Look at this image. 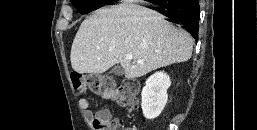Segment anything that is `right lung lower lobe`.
<instances>
[{
    "instance_id": "right-lung-lower-lobe-1",
    "label": "right lung lower lobe",
    "mask_w": 257,
    "mask_h": 130,
    "mask_svg": "<svg viewBox=\"0 0 257 130\" xmlns=\"http://www.w3.org/2000/svg\"><path fill=\"white\" fill-rule=\"evenodd\" d=\"M163 8L162 14L167 20L185 27L198 40L199 3L198 0H169L157 4Z\"/></svg>"
}]
</instances>
